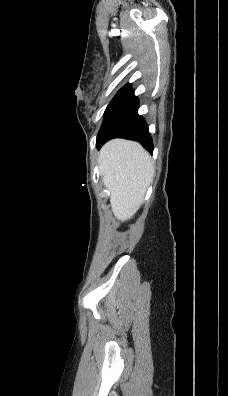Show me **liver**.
Listing matches in <instances>:
<instances>
[{
    "mask_svg": "<svg viewBox=\"0 0 228 396\" xmlns=\"http://www.w3.org/2000/svg\"><path fill=\"white\" fill-rule=\"evenodd\" d=\"M98 163L114 216L132 218L153 179L151 156L138 142L114 139L102 147Z\"/></svg>",
    "mask_w": 228,
    "mask_h": 396,
    "instance_id": "1",
    "label": "liver"
}]
</instances>
